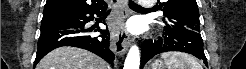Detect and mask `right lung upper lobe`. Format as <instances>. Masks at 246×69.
Returning <instances> with one entry per match:
<instances>
[{"label":"right lung upper lobe","mask_w":246,"mask_h":69,"mask_svg":"<svg viewBox=\"0 0 246 69\" xmlns=\"http://www.w3.org/2000/svg\"><path fill=\"white\" fill-rule=\"evenodd\" d=\"M106 6L103 0H47L43 14L54 11L101 9Z\"/></svg>","instance_id":"obj_1"}]
</instances>
